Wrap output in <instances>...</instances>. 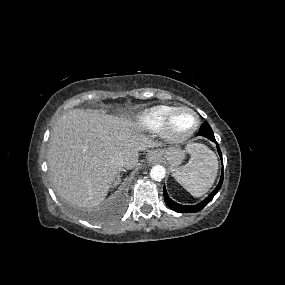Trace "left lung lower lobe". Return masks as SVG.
<instances>
[{
  "label": "left lung lower lobe",
  "mask_w": 285,
  "mask_h": 285,
  "mask_svg": "<svg viewBox=\"0 0 285 285\" xmlns=\"http://www.w3.org/2000/svg\"><path fill=\"white\" fill-rule=\"evenodd\" d=\"M198 135L199 136H204V137L208 138L211 141H215L214 133H213L210 125L207 124V123H203L201 125L200 130L198 132ZM218 153H219V155H220V157L222 159V154H221V151H220L219 147H218ZM222 182H223V169H222V175H221L219 184L217 185L215 190L204 201H202L201 203H199L197 205H194V206L181 205V204H178V203L174 202L173 200H171L169 198L167 192H166L165 186L163 188L164 199H165L166 204L171 209H173L174 211H177V212H198V211L202 210L208 204V202L210 200H212V198L216 195V193L221 188Z\"/></svg>",
  "instance_id": "0a47b994"
}]
</instances>
